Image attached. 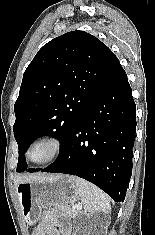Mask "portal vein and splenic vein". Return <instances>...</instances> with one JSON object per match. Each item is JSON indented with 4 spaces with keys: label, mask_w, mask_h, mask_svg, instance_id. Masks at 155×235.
<instances>
[{
    "label": "portal vein and splenic vein",
    "mask_w": 155,
    "mask_h": 235,
    "mask_svg": "<svg viewBox=\"0 0 155 235\" xmlns=\"http://www.w3.org/2000/svg\"><path fill=\"white\" fill-rule=\"evenodd\" d=\"M72 209L73 210H79V209H81V207L79 205H75V206L72 207Z\"/></svg>",
    "instance_id": "18ae733b"
}]
</instances>
